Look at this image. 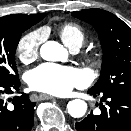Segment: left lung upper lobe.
Masks as SVG:
<instances>
[{"instance_id": "obj_1", "label": "left lung upper lobe", "mask_w": 131, "mask_h": 131, "mask_svg": "<svg viewBox=\"0 0 131 131\" xmlns=\"http://www.w3.org/2000/svg\"><path fill=\"white\" fill-rule=\"evenodd\" d=\"M72 15L95 28L103 48L100 78L91 90L131 94V28L102 9H87Z\"/></svg>"}]
</instances>
